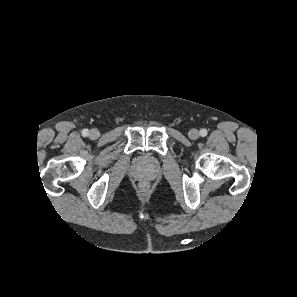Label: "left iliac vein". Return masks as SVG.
Returning <instances> with one entry per match:
<instances>
[{
  "instance_id": "4c4485c4",
  "label": "left iliac vein",
  "mask_w": 297,
  "mask_h": 297,
  "mask_svg": "<svg viewBox=\"0 0 297 297\" xmlns=\"http://www.w3.org/2000/svg\"><path fill=\"white\" fill-rule=\"evenodd\" d=\"M188 136L192 140H196L199 138V131L196 129H191L188 133Z\"/></svg>"
}]
</instances>
